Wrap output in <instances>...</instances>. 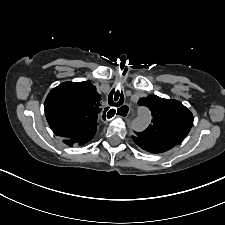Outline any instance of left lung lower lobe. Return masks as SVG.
<instances>
[{"label": "left lung lower lobe", "instance_id": "left-lung-lower-lobe-1", "mask_svg": "<svg viewBox=\"0 0 225 225\" xmlns=\"http://www.w3.org/2000/svg\"><path fill=\"white\" fill-rule=\"evenodd\" d=\"M132 139L139 147H141L143 150L150 153H162V152L168 151L169 149L175 146L170 144H162V143H154V142L146 141L136 136H132Z\"/></svg>", "mask_w": 225, "mask_h": 225}]
</instances>
